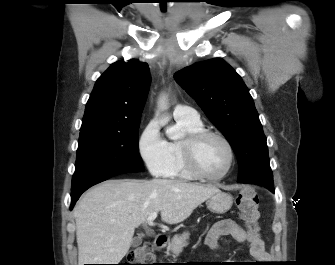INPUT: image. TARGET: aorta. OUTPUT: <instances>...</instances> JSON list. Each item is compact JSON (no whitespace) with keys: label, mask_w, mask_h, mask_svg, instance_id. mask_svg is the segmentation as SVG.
Returning <instances> with one entry per match:
<instances>
[{"label":"aorta","mask_w":335,"mask_h":265,"mask_svg":"<svg viewBox=\"0 0 335 265\" xmlns=\"http://www.w3.org/2000/svg\"><path fill=\"white\" fill-rule=\"evenodd\" d=\"M158 106L161 109H167V101L165 96L161 97L158 101ZM166 135L169 139L176 140L180 137V133L177 129L169 127L166 129Z\"/></svg>","instance_id":"1"}]
</instances>
